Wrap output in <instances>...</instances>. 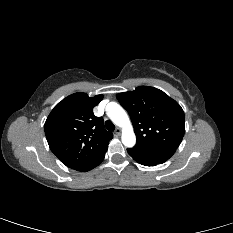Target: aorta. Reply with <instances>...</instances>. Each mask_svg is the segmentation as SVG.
I'll return each instance as SVG.
<instances>
[{
	"mask_svg": "<svg viewBox=\"0 0 233 233\" xmlns=\"http://www.w3.org/2000/svg\"><path fill=\"white\" fill-rule=\"evenodd\" d=\"M106 114L111 121L122 128V143L131 148L136 144V136L126 111L117 103L110 102L106 107Z\"/></svg>",
	"mask_w": 233,
	"mask_h": 233,
	"instance_id": "aorta-1",
	"label": "aorta"
}]
</instances>
